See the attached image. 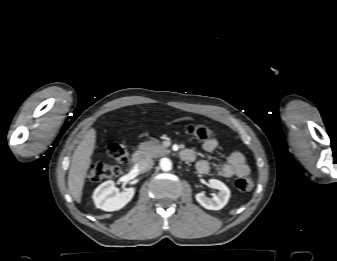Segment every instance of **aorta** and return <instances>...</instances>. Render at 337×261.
<instances>
[{"mask_svg":"<svg viewBox=\"0 0 337 261\" xmlns=\"http://www.w3.org/2000/svg\"><path fill=\"white\" fill-rule=\"evenodd\" d=\"M160 167L163 171H169L172 169V162L169 158H162L160 160Z\"/></svg>","mask_w":337,"mask_h":261,"instance_id":"1","label":"aorta"}]
</instances>
